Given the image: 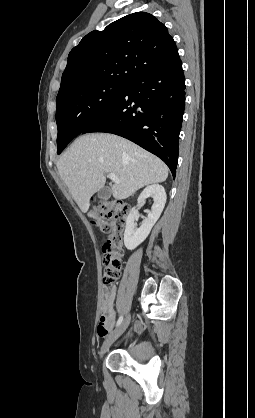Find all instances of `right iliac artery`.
Segmentation results:
<instances>
[{
	"instance_id": "82829eb1",
	"label": "right iliac artery",
	"mask_w": 255,
	"mask_h": 418,
	"mask_svg": "<svg viewBox=\"0 0 255 418\" xmlns=\"http://www.w3.org/2000/svg\"><path fill=\"white\" fill-rule=\"evenodd\" d=\"M123 321V315H121L116 323V327H118Z\"/></svg>"
}]
</instances>
